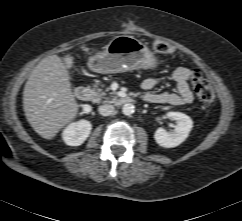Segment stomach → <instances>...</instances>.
Listing matches in <instances>:
<instances>
[{
	"mask_svg": "<svg viewBox=\"0 0 242 221\" xmlns=\"http://www.w3.org/2000/svg\"><path fill=\"white\" fill-rule=\"evenodd\" d=\"M158 59L147 45L138 39L122 35L113 38L105 50L88 60V67L96 73H121L135 69H155Z\"/></svg>",
	"mask_w": 242,
	"mask_h": 221,
	"instance_id": "0dacf381",
	"label": "stomach"
}]
</instances>
